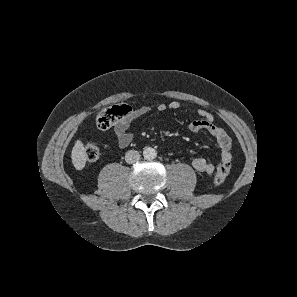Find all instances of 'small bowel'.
<instances>
[{
  "instance_id": "c3829d8e",
  "label": "small bowel",
  "mask_w": 297,
  "mask_h": 297,
  "mask_svg": "<svg viewBox=\"0 0 297 297\" xmlns=\"http://www.w3.org/2000/svg\"><path fill=\"white\" fill-rule=\"evenodd\" d=\"M181 107V103L178 101H172L169 104H159L157 105V110L162 112L166 109L177 110ZM150 112L148 106H141L131 110V113L118 120L113 125V132L116 138V142L119 147L125 148L131 144L133 141V134L129 131L131 123L139 119ZM199 118L191 121L189 123V129L192 132L207 131L209 132L217 141L219 148L221 150L220 160L221 161H231V139L225 130L214 122L213 115L205 109H199L197 111ZM192 166L198 172L211 175L215 171V166L213 163L208 162L204 158L197 157L193 159Z\"/></svg>"
}]
</instances>
